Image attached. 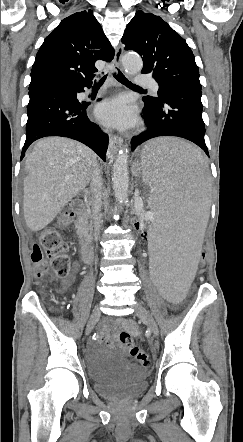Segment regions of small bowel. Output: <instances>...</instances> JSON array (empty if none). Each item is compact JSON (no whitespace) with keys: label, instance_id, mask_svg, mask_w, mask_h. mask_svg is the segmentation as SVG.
Masks as SVG:
<instances>
[{"label":"small bowel","instance_id":"c3829d8e","mask_svg":"<svg viewBox=\"0 0 243 442\" xmlns=\"http://www.w3.org/2000/svg\"><path fill=\"white\" fill-rule=\"evenodd\" d=\"M72 281V278H68L65 280L64 286H70ZM121 329L130 331L134 336H139L137 327L130 321L118 319L112 324L110 321L105 320L101 328L100 341L109 347H115L117 344V332Z\"/></svg>","mask_w":243,"mask_h":442}]
</instances>
